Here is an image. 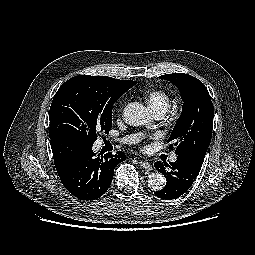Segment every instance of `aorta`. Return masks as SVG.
<instances>
[{"label":"aorta","mask_w":255,"mask_h":255,"mask_svg":"<svg viewBox=\"0 0 255 255\" xmlns=\"http://www.w3.org/2000/svg\"><path fill=\"white\" fill-rule=\"evenodd\" d=\"M124 120L131 126H141L149 122L148 109L139 102H131L124 109ZM148 186L154 191H160L165 187L166 179L159 173L154 172L148 177Z\"/></svg>","instance_id":"obj_1"}]
</instances>
